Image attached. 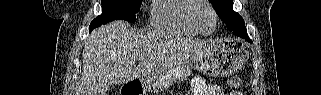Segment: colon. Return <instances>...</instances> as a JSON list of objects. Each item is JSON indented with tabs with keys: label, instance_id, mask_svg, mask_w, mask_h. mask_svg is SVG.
<instances>
[{
	"label": "colon",
	"instance_id": "colon-1",
	"mask_svg": "<svg viewBox=\"0 0 321 95\" xmlns=\"http://www.w3.org/2000/svg\"><path fill=\"white\" fill-rule=\"evenodd\" d=\"M227 84L232 88H238L241 86V78L238 76H232L228 79Z\"/></svg>",
	"mask_w": 321,
	"mask_h": 95
}]
</instances>
